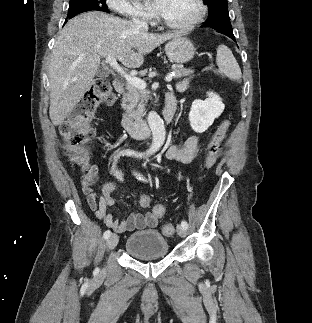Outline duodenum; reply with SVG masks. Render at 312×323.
Segmentation results:
<instances>
[{"label":"duodenum","instance_id":"410a0bca","mask_svg":"<svg viewBox=\"0 0 312 323\" xmlns=\"http://www.w3.org/2000/svg\"><path fill=\"white\" fill-rule=\"evenodd\" d=\"M125 80L117 78L113 82V87L118 93L125 92ZM177 112V100L174 92L168 93L165 104L162 109V116L167 123H171ZM122 127L134 138L143 139L149 132L150 128L145 120L138 119L130 113H124L121 119Z\"/></svg>","mask_w":312,"mask_h":323}]
</instances>
